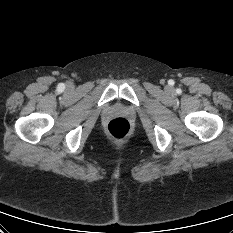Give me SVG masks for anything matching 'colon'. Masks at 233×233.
I'll use <instances>...</instances> for the list:
<instances>
[{
	"mask_svg": "<svg viewBox=\"0 0 233 233\" xmlns=\"http://www.w3.org/2000/svg\"><path fill=\"white\" fill-rule=\"evenodd\" d=\"M130 131L129 121L122 117L112 119L107 125L108 134L117 141L125 140L129 136Z\"/></svg>",
	"mask_w": 233,
	"mask_h": 233,
	"instance_id": "colon-1",
	"label": "colon"
}]
</instances>
